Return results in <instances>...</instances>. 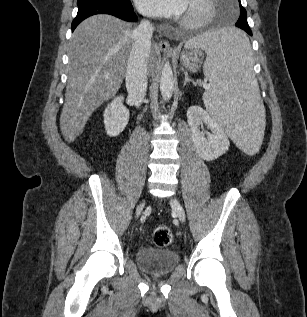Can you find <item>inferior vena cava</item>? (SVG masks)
<instances>
[{
    "label": "inferior vena cava",
    "instance_id": "inferior-vena-cava-1",
    "mask_svg": "<svg viewBox=\"0 0 307 317\" xmlns=\"http://www.w3.org/2000/svg\"><path fill=\"white\" fill-rule=\"evenodd\" d=\"M154 28L148 20H142L133 32L134 44L126 71L128 100L136 107L142 103L147 90V61L150 55Z\"/></svg>",
    "mask_w": 307,
    "mask_h": 317
}]
</instances>
